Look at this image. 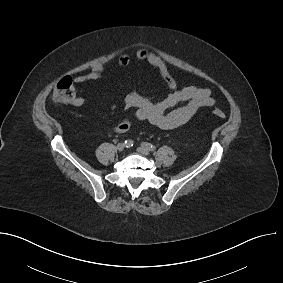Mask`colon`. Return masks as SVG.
I'll return each mask as SVG.
<instances>
[{
	"label": "colon",
	"instance_id": "1",
	"mask_svg": "<svg viewBox=\"0 0 283 283\" xmlns=\"http://www.w3.org/2000/svg\"><path fill=\"white\" fill-rule=\"evenodd\" d=\"M75 94L76 91L72 79L65 77L55 86L52 93V99L57 104H66L74 99ZM212 113L218 119H224L226 117L225 112L219 108H214Z\"/></svg>",
	"mask_w": 283,
	"mask_h": 283
}]
</instances>
